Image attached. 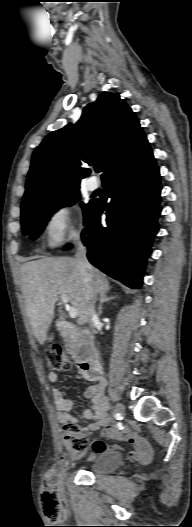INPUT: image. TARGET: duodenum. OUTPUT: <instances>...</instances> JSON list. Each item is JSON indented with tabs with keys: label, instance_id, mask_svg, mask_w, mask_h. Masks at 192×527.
I'll list each match as a JSON object with an SVG mask.
<instances>
[{
	"label": "duodenum",
	"instance_id": "410a0bca",
	"mask_svg": "<svg viewBox=\"0 0 192 527\" xmlns=\"http://www.w3.org/2000/svg\"><path fill=\"white\" fill-rule=\"evenodd\" d=\"M59 327L61 334L66 338H75L78 336L75 326L70 322L61 321ZM77 362L85 378L98 382L103 381L101 365L95 353H90L85 357L79 356Z\"/></svg>",
	"mask_w": 192,
	"mask_h": 527
}]
</instances>
